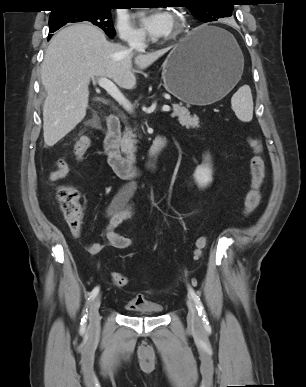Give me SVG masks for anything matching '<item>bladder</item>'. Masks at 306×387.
<instances>
[{"label":"bladder","instance_id":"1","mask_svg":"<svg viewBox=\"0 0 306 387\" xmlns=\"http://www.w3.org/2000/svg\"><path fill=\"white\" fill-rule=\"evenodd\" d=\"M126 309L131 315H144L150 317H158L164 311V308L161 304L151 301H146L142 305L135 308H128L127 304Z\"/></svg>","mask_w":306,"mask_h":387}]
</instances>
